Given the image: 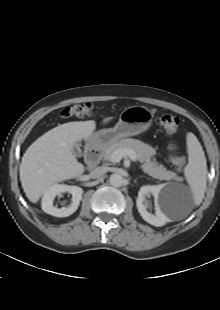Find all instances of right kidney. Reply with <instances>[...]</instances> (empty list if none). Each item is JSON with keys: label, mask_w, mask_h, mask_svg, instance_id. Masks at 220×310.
<instances>
[{"label": "right kidney", "mask_w": 220, "mask_h": 310, "mask_svg": "<svg viewBox=\"0 0 220 310\" xmlns=\"http://www.w3.org/2000/svg\"><path fill=\"white\" fill-rule=\"evenodd\" d=\"M68 192L72 194L71 204L68 207L57 208L53 206V201L57 195ZM83 190L78 186H70L65 184H54L47 189L42 197V210L47 214L56 217H67L73 214L82 199Z\"/></svg>", "instance_id": "ca27d5eb"}]
</instances>
